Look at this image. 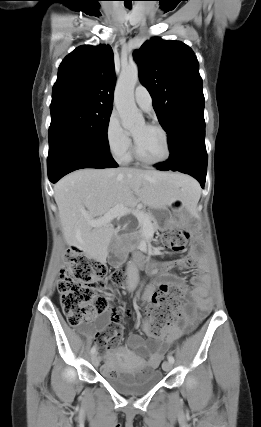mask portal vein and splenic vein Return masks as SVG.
<instances>
[{"instance_id":"obj_1","label":"portal vein and splenic vein","mask_w":261,"mask_h":427,"mask_svg":"<svg viewBox=\"0 0 261 427\" xmlns=\"http://www.w3.org/2000/svg\"><path fill=\"white\" fill-rule=\"evenodd\" d=\"M129 213H132L137 218L139 223L143 224L145 227H148L149 222L144 212L140 210H131L124 205H116L111 210H109L104 216L98 219L89 220L88 223L92 227H101L109 224L114 218H121Z\"/></svg>"}]
</instances>
